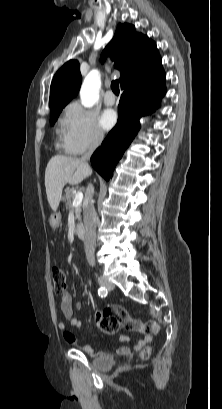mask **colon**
<instances>
[{
    "mask_svg": "<svg viewBox=\"0 0 222 409\" xmlns=\"http://www.w3.org/2000/svg\"><path fill=\"white\" fill-rule=\"evenodd\" d=\"M51 278L55 293L64 294L67 289V280L64 270L58 265L53 266L51 269ZM112 313V309L106 308L98 311L96 314L97 327L107 334H115L119 329L117 321L112 319ZM148 352V349H145L142 352V356L146 357Z\"/></svg>",
    "mask_w": 222,
    "mask_h": 409,
    "instance_id": "5ec220e1",
    "label": "colon"
}]
</instances>
